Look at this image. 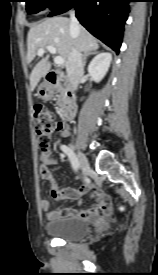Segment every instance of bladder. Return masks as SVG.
<instances>
[{"label":"bladder","mask_w":158,"mask_h":275,"mask_svg":"<svg viewBox=\"0 0 158 275\" xmlns=\"http://www.w3.org/2000/svg\"><path fill=\"white\" fill-rule=\"evenodd\" d=\"M45 231L55 238L78 240L87 236L89 224L80 217L61 216L46 222Z\"/></svg>","instance_id":"obj_1"}]
</instances>
